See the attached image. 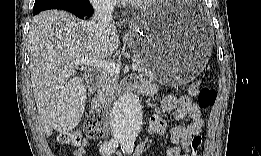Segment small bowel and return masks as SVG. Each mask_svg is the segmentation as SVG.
Masks as SVG:
<instances>
[{
    "label": "small bowel",
    "instance_id": "c3829d8e",
    "mask_svg": "<svg viewBox=\"0 0 261 156\" xmlns=\"http://www.w3.org/2000/svg\"><path fill=\"white\" fill-rule=\"evenodd\" d=\"M129 81L134 85V87H137L145 93H150L155 90L151 84L140 81L137 78H131ZM159 107L164 112H173L174 119L177 121H181L186 118L191 119L190 123L187 125H177L170 130V140L172 145L165 152L166 156H180L182 151L185 154L193 136L200 134L204 127L205 120L201 108L194 103L189 96H177L174 94L165 96L160 101ZM166 129L167 124L162 117L156 114L150 117V135H163L166 132ZM88 146L89 139L83 138L81 145L74 150V155L84 156ZM149 146V140L140 142L136 146L133 154L135 156L146 155Z\"/></svg>",
    "mask_w": 261,
    "mask_h": 156
}]
</instances>
